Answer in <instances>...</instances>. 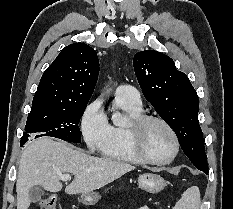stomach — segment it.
<instances>
[{
    "label": "stomach",
    "instance_id": "1",
    "mask_svg": "<svg viewBox=\"0 0 233 209\" xmlns=\"http://www.w3.org/2000/svg\"><path fill=\"white\" fill-rule=\"evenodd\" d=\"M139 187L149 193H158L166 185L165 180L158 174L155 173H144L138 178ZM101 196L98 192H89L81 194V201L83 204L92 206L95 205Z\"/></svg>",
    "mask_w": 233,
    "mask_h": 209
}]
</instances>
